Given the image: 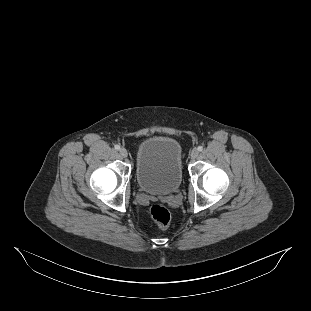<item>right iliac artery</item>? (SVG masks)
<instances>
[{"instance_id":"obj_1","label":"right iliac artery","mask_w":311,"mask_h":311,"mask_svg":"<svg viewBox=\"0 0 311 311\" xmlns=\"http://www.w3.org/2000/svg\"><path fill=\"white\" fill-rule=\"evenodd\" d=\"M114 148H115L116 150H119V149H120V146H119V145H115Z\"/></svg>"}]
</instances>
